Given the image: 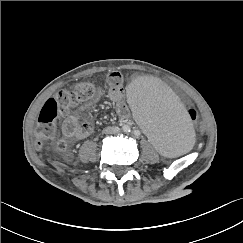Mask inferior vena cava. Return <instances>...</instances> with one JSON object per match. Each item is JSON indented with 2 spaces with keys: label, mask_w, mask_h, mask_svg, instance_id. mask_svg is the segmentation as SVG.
<instances>
[{
  "label": "inferior vena cava",
  "mask_w": 243,
  "mask_h": 243,
  "mask_svg": "<svg viewBox=\"0 0 243 243\" xmlns=\"http://www.w3.org/2000/svg\"><path fill=\"white\" fill-rule=\"evenodd\" d=\"M119 131L118 127H108L105 129L107 134L117 133Z\"/></svg>",
  "instance_id": "inferior-vena-cava-1"
}]
</instances>
